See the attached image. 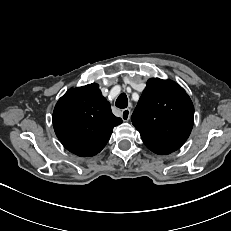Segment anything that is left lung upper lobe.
I'll return each mask as SVG.
<instances>
[{"label":"left lung upper lobe","instance_id":"5c2ea615","mask_svg":"<svg viewBox=\"0 0 231 231\" xmlns=\"http://www.w3.org/2000/svg\"><path fill=\"white\" fill-rule=\"evenodd\" d=\"M131 119L148 148L169 154L179 149L189 137L194 107L177 83L151 78Z\"/></svg>","mask_w":231,"mask_h":231}]
</instances>
